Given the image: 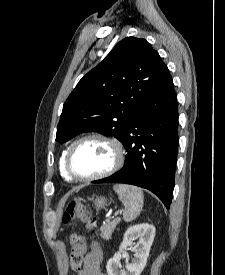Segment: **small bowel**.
Returning a JSON list of instances; mask_svg holds the SVG:
<instances>
[{
	"instance_id": "c3829d8e",
	"label": "small bowel",
	"mask_w": 225,
	"mask_h": 275,
	"mask_svg": "<svg viewBox=\"0 0 225 275\" xmlns=\"http://www.w3.org/2000/svg\"><path fill=\"white\" fill-rule=\"evenodd\" d=\"M102 254L101 251L95 247V249L83 259L82 268L77 272V275H105L102 266Z\"/></svg>"
}]
</instances>
